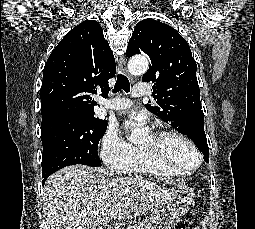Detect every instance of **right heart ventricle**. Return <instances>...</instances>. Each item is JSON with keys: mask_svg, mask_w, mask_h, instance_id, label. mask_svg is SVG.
I'll return each mask as SVG.
<instances>
[{"mask_svg": "<svg viewBox=\"0 0 255 229\" xmlns=\"http://www.w3.org/2000/svg\"><path fill=\"white\" fill-rule=\"evenodd\" d=\"M123 171L128 174L154 176L163 179L179 177L157 166L139 147H135L134 154L130 161L124 166Z\"/></svg>", "mask_w": 255, "mask_h": 229, "instance_id": "e07e8e85", "label": "right heart ventricle"}]
</instances>
